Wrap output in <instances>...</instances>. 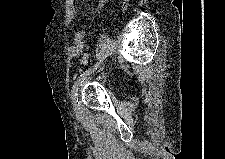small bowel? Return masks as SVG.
Masks as SVG:
<instances>
[{"mask_svg":"<svg viewBox=\"0 0 225 159\" xmlns=\"http://www.w3.org/2000/svg\"><path fill=\"white\" fill-rule=\"evenodd\" d=\"M106 4H107V0L100 1V8L101 9L104 8ZM68 7H69L70 17H73L74 8H73V2L72 1H70L68 3ZM84 38H85V30L84 29L79 30L75 34L72 45H71L70 50H69L70 56L77 57V56H80L82 54V52L84 50V45H85Z\"/></svg>","mask_w":225,"mask_h":159,"instance_id":"small-bowel-1","label":"small bowel"}]
</instances>
